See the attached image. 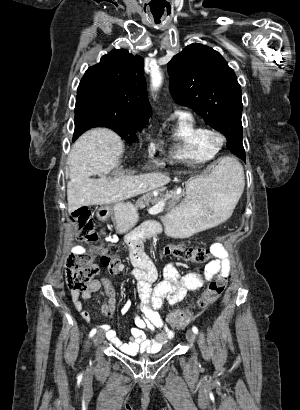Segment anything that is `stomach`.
I'll return each instance as SVG.
<instances>
[{
	"label": "stomach",
	"instance_id": "0dacf381",
	"mask_svg": "<svg viewBox=\"0 0 300 410\" xmlns=\"http://www.w3.org/2000/svg\"><path fill=\"white\" fill-rule=\"evenodd\" d=\"M219 165L208 175L196 176L187 182L184 200L163 219L167 235L188 238L218 226L231 216L238 201L234 172L222 170ZM98 215L111 217L119 233L130 230L138 220L137 209L130 202L102 208Z\"/></svg>",
	"mask_w": 300,
	"mask_h": 410
}]
</instances>
